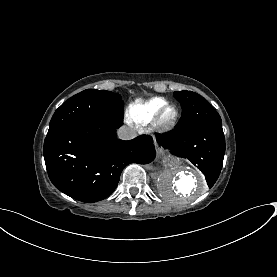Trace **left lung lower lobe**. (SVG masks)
<instances>
[{
  "mask_svg": "<svg viewBox=\"0 0 277 277\" xmlns=\"http://www.w3.org/2000/svg\"><path fill=\"white\" fill-rule=\"evenodd\" d=\"M159 145L173 155L190 160L211 188L219 177L225 154L222 123H206L170 133L156 134Z\"/></svg>",
  "mask_w": 277,
  "mask_h": 277,
  "instance_id": "1",
  "label": "left lung lower lobe"
}]
</instances>
